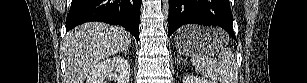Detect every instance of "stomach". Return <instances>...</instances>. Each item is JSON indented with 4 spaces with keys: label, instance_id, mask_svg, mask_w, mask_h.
Listing matches in <instances>:
<instances>
[{
    "label": "stomach",
    "instance_id": "stomach-1",
    "mask_svg": "<svg viewBox=\"0 0 307 83\" xmlns=\"http://www.w3.org/2000/svg\"><path fill=\"white\" fill-rule=\"evenodd\" d=\"M213 31L218 29L211 28ZM209 28L189 25L181 28L175 35V45L178 51L186 56L195 54L213 55L219 49L227 45V34H212Z\"/></svg>",
    "mask_w": 307,
    "mask_h": 83
}]
</instances>
